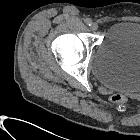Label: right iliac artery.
I'll list each match as a JSON object with an SVG mask.
<instances>
[{"label": "right iliac artery", "instance_id": "1", "mask_svg": "<svg viewBox=\"0 0 140 140\" xmlns=\"http://www.w3.org/2000/svg\"><path fill=\"white\" fill-rule=\"evenodd\" d=\"M84 21H85V23H86L88 26H91V25H92V20H91V19L87 18V19H85Z\"/></svg>", "mask_w": 140, "mask_h": 140}]
</instances>
